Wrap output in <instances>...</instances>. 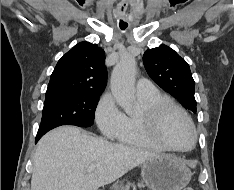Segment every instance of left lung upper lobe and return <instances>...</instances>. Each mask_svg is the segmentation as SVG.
I'll return each instance as SVG.
<instances>
[{
    "instance_id": "left-lung-upper-lobe-1",
    "label": "left lung upper lobe",
    "mask_w": 234,
    "mask_h": 190,
    "mask_svg": "<svg viewBox=\"0 0 234 190\" xmlns=\"http://www.w3.org/2000/svg\"><path fill=\"white\" fill-rule=\"evenodd\" d=\"M143 63L149 76L181 104L196 113L195 82L188 63L166 45L148 49Z\"/></svg>"
}]
</instances>
